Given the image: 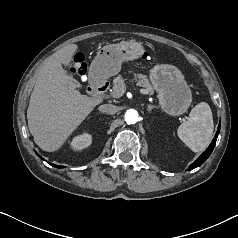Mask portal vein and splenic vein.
<instances>
[{
  "mask_svg": "<svg viewBox=\"0 0 238 238\" xmlns=\"http://www.w3.org/2000/svg\"><path fill=\"white\" fill-rule=\"evenodd\" d=\"M126 90V86L123 87V93L125 92ZM139 92L142 93V94H149L145 89H139Z\"/></svg>",
  "mask_w": 238,
  "mask_h": 238,
  "instance_id": "18ae733b",
  "label": "portal vein and splenic vein"
}]
</instances>
